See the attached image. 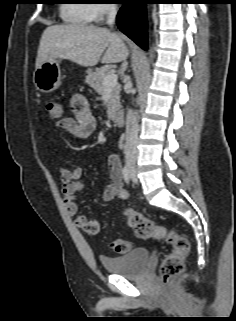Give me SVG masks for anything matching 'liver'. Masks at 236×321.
<instances>
[{"label":"liver","instance_id":"obj_1","mask_svg":"<svg viewBox=\"0 0 236 321\" xmlns=\"http://www.w3.org/2000/svg\"><path fill=\"white\" fill-rule=\"evenodd\" d=\"M128 49L123 38L107 28L93 25H54L42 34L36 69L45 61L67 59L78 65L94 66L125 61Z\"/></svg>","mask_w":236,"mask_h":321}]
</instances>
